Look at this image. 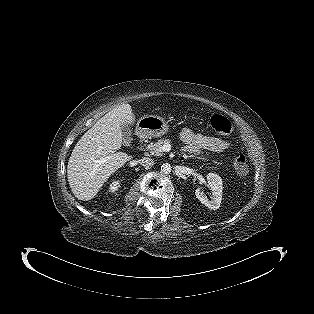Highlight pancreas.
<instances>
[{"label": "pancreas", "mask_w": 314, "mask_h": 314, "mask_svg": "<svg viewBox=\"0 0 314 314\" xmlns=\"http://www.w3.org/2000/svg\"><path fill=\"white\" fill-rule=\"evenodd\" d=\"M166 143H170V140L169 139H166V138H163V139H160L158 140L157 142L155 143H150L148 146H147V149L153 153V154H156L158 156H162V152L160 151V148L166 144Z\"/></svg>", "instance_id": "obj_1"}]
</instances>
